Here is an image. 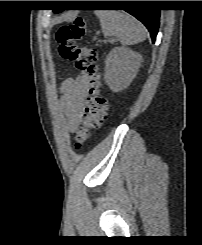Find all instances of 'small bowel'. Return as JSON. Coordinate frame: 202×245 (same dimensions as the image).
<instances>
[{
    "instance_id": "small-bowel-1",
    "label": "small bowel",
    "mask_w": 202,
    "mask_h": 245,
    "mask_svg": "<svg viewBox=\"0 0 202 245\" xmlns=\"http://www.w3.org/2000/svg\"><path fill=\"white\" fill-rule=\"evenodd\" d=\"M89 88V77L83 72L78 78H67L61 86L62 102L67 110L70 112L79 110L87 96ZM78 121L70 120L68 128L70 131H76Z\"/></svg>"
}]
</instances>
